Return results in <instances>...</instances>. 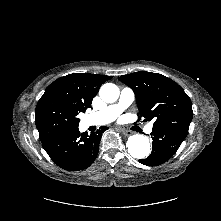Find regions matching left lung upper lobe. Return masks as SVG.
I'll return each mask as SVG.
<instances>
[{
  "mask_svg": "<svg viewBox=\"0 0 221 221\" xmlns=\"http://www.w3.org/2000/svg\"><path fill=\"white\" fill-rule=\"evenodd\" d=\"M135 93L139 119L154 120L153 129L188 134L193 117L190 98L176 82L158 73L139 71L119 77Z\"/></svg>",
  "mask_w": 221,
  "mask_h": 221,
  "instance_id": "1",
  "label": "left lung upper lobe"
}]
</instances>
